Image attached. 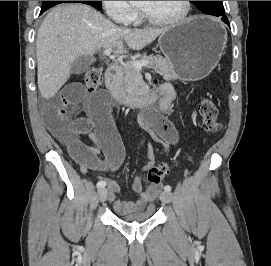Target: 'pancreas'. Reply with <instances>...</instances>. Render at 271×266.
I'll list each match as a JSON object with an SVG mask.
<instances>
[{
  "label": "pancreas",
  "mask_w": 271,
  "mask_h": 266,
  "mask_svg": "<svg viewBox=\"0 0 271 266\" xmlns=\"http://www.w3.org/2000/svg\"><path fill=\"white\" fill-rule=\"evenodd\" d=\"M140 61H149L150 64L147 66L148 68L153 69L164 78H173V65L170 60L163 58L160 55H143L140 59L132 60L129 64L122 66L124 73L123 87L128 95L140 96L147 90V86L140 71L131 64Z\"/></svg>",
  "instance_id": "pancreas-1"
}]
</instances>
